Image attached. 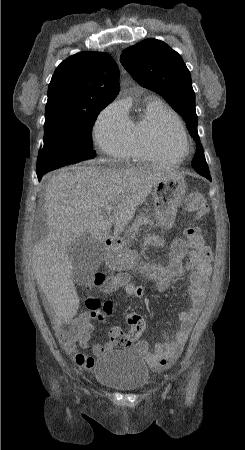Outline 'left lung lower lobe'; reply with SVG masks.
I'll return each instance as SVG.
<instances>
[{
  "label": "left lung lower lobe",
  "mask_w": 245,
  "mask_h": 450,
  "mask_svg": "<svg viewBox=\"0 0 245 450\" xmlns=\"http://www.w3.org/2000/svg\"><path fill=\"white\" fill-rule=\"evenodd\" d=\"M197 152L199 153V154H203V149L202 148H199V149H197ZM202 176H204V177H206L207 179H209L210 181H211V177H210V174L209 173H202L201 174Z\"/></svg>",
  "instance_id": "0a47b994"
}]
</instances>
